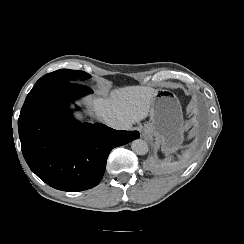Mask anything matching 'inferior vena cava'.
I'll return each instance as SVG.
<instances>
[{
    "mask_svg": "<svg viewBox=\"0 0 244 244\" xmlns=\"http://www.w3.org/2000/svg\"><path fill=\"white\" fill-rule=\"evenodd\" d=\"M103 120H104L105 124H107L111 128H114V129H122V130L129 129V127L127 126V124L120 123L115 118L103 117Z\"/></svg>",
    "mask_w": 244,
    "mask_h": 244,
    "instance_id": "1",
    "label": "inferior vena cava"
}]
</instances>
